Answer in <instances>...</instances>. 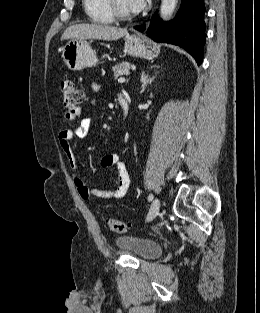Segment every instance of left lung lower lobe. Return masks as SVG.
<instances>
[{
	"label": "left lung lower lobe",
	"instance_id": "1",
	"mask_svg": "<svg viewBox=\"0 0 260 313\" xmlns=\"http://www.w3.org/2000/svg\"><path fill=\"white\" fill-rule=\"evenodd\" d=\"M204 0H182L173 21H162L157 12L150 20L146 34L156 42H166L183 47L200 65L205 44ZM144 31L145 27H135Z\"/></svg>",
	"mask_w": 260,
	"mask_h": 313
}]
</instances>
